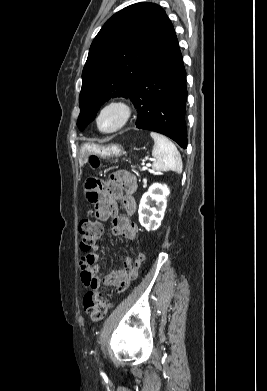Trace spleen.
<instances>
[{
    "mask_svg": "<svg viewBox=\"0 0 267 391\" xmlns=\"http://www.w3.org/2000/svg\"><path fill=\"white\" fill-rule=\"evenodd\" d=\"M154 140L152 156L155 158L152 168L157 171L182 172V159L176 146L162 134L151 132Z\"/></svg>",
    "mask_w": 267,
    "mask_h": 391,
    "instance_id": "3e777b00",
    "label": "spleen"
}]
</instances>
